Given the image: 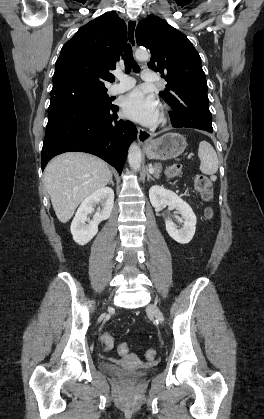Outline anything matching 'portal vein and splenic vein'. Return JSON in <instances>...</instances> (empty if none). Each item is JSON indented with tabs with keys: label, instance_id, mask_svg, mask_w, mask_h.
I'll use <instances>...</instances> for the list:
<instances>
[{
	"label": "portal vein and splenic vein",
	"instance_id": "portal-vein-and-splenic-vein-1",
	"mask_svg": "<svg viewBox=\"0 0 264 419\" xmlns=\"http://www.w3.org/2000/svg\"><path fill=\"white\" fill-rule=\"evenodd\" d=\"M149 172L153 173L154 169L150 167Z\"/></svg>",
	"mask_w": 264,
	"mask_h": 419
}]
</instances>
